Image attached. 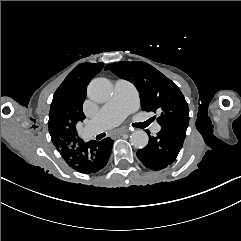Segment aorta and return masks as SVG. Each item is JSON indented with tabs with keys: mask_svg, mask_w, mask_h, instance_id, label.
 I'll return each mask as SVG.
<instances>
[{
	"mask_svg": "<svg viewBox=\"0 0 241 241\" xmlns=\"http://www.w3.org/2000/svg\"><path fill=\"white\" fill-rule=\"evenodd\" d=\"M112 90V83L108 79L95 78L90 82L87 94L93 101L102 103L111 97ZM130 141L135 148L142 149L147 146L149 137L145 131L136 130L131 134Z\"/></svg>",
	"mask_w": 241,
	"mask_h": 241,
	"instance_id": "762f6f07",
	"label": "aorta"
}]
</instances>
